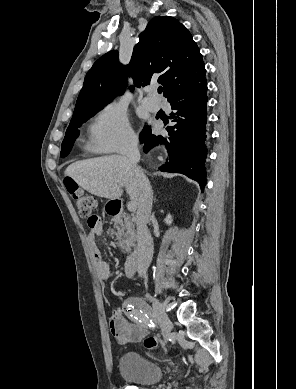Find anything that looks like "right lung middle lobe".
<instances>
[{"label":"right lung middle lobe","mask_w":296,"mask_h":389,"mask_svg":"<svg viewBox=\"0 0 296 389\" xmlns=\"http://www.w3.org/2000/svg\"><path fill=\"white\" fill-rule=\"evenodd\" d=\"M101 108L102 107L86 108L77 114H73V117L71 119L69 127L66 131L65 138L62 142V148H61V154H60L61 157L67 156L69 154L70 150L72 149V145L74 143V140L79 135V131H78L77 127H79L87 119L94 116ZM148 131H149V127H145L140 134V138H144V136L147 134Z\"/></svg>","instance_id":"right-lung-middle-lobe-1"}]
</instances>
